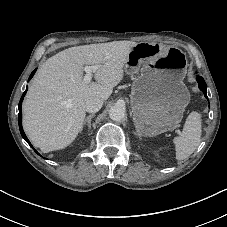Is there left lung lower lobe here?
I'll list each match as a JSON object with an SVG mask.
<instances>
[{
	"instance_id": "1",
	"label": "left lung lower lobe",
	"mask_w": 227,
	"mask_h": 227,
	"mask_svg": "<svg viewBox=\"0 0 227 227\" xmlns=\"http://www.w3.org/2000/svg\"><path fill=\"white\" fill-rule=\"evenodd\" d=\"M197 81L199 84V89L204 93V96L207 98L206 83L204 79L201 76H197Z\"/></svg>"
}]
</instances>
